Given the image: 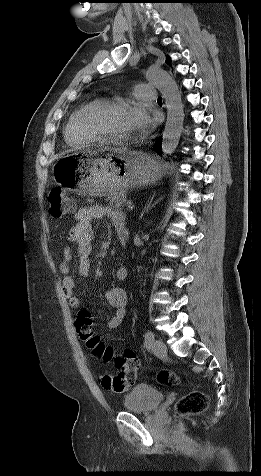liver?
<instances>
[{
  "label": "liver",
  "instance_id": "1",
  "mask_svg": "<svg viewBox=\"0 0 261 476\" xmlns=\"http://www.w3.org/2000/svg\"><path fill=\"white\" fill-rule=\"evenodd\" d=\"M115 151L117 152V151H121V150H120V149H117V150H115Z\"/></svg>",
  "mask_w": 261,
  "mask_h": 476
}]
</instances>
